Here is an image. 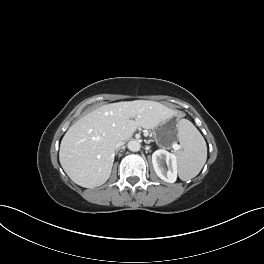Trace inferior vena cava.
I'll use <instances>...</instances> for the list:
<instances>
[{
	"instance_id": "inferior-vena-cava-1",
	"label": "inferior vena cava",
	"mask_w": 264,
	"mask_h": 264,
	"mask_svg": "<svg viewBox=\"0 0 264 264\" xmlns=\"http://www.w3.org/2000/svg\"><path fill=\"white\" fill-rule=\"evenodd\" d=\"M123 145V141H118L116 144H115V149L119 148L120 146Z\"/></svg>"
}]
</instances>
